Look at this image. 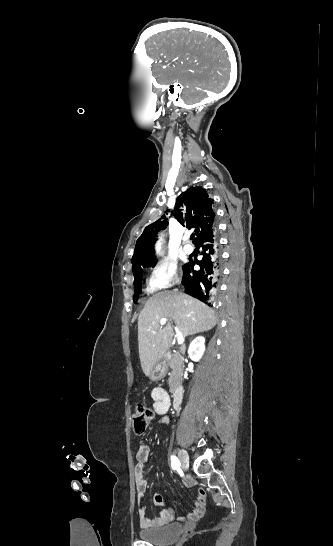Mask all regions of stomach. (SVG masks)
Returning <instances> with one entry per match:
<instances>
[{
    "mask_svg": "<svg viewBox=\"0 0 333 546\" xmlns=\"http://www.w3.org/2000/svg\"><path fill=\"white\" fill-rule=\"evenodd\" d=\"M167 370H168L167 358L164 356L155 364V366L150 372L149 377L153 381L161 380L162 378L166 376Z\"/></svg>",
    "mask_w": 333,
    "mask_h": 546,
    "instance_id": "obj_1",
    "label": "stomach"
}]
</instances>
